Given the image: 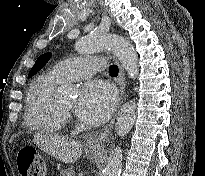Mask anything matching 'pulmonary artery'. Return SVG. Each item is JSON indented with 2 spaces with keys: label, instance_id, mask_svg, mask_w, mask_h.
Here are the masks:
<instances>
[{
  "label": "pulmonary artery",
  "instance_id": "obj_1",
  "mask_svg": "<svg viewBox=\"0 0 205 176\" xmlns=\"http://www.w3.org/2000/svg\"><path fill=\"white\" fill-rule=\"evenodd\" d=\"M102 62L101 56L72 57L56 63L52 72L63 81L77 80L102 70Z\"/></svg>",
  "mask_w": 205,
  "mask_h": 176
}]
</instances>
